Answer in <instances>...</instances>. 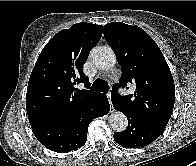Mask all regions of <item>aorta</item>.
<instances>
[{"label":"aorta","mask_w":196,"mask_h":166,"mask_svg":"<svg viewBox=\"0 0 196 166\" xmlns=\"http://www.w3.org/2000/svg\"><path fill=\"white\" fill-rule=\"evenodd\" d=\"M93 64L100 69H111L117 62L116 55L109 46L95 47L91 52ZM109 124L116 132H122L128 125L127 117L120 111H115L109 116Z\"/></svg>","instance_id":"762f6f07"}]
</instances>
